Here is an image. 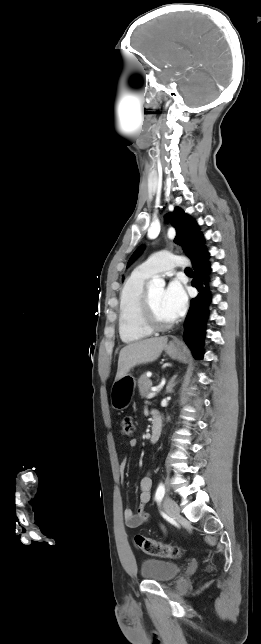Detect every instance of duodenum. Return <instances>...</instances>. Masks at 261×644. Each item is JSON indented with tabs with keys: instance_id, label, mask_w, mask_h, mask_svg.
<instances>
[{
	"instance_id": "duodenum-1",
	"label": "duodenum",
	"mask_w": 261,
	"mask_h": 644,
	"mask_svg": "<svg viewBox=\"0 0 261 644\" xmlns=\"http://www.w3.org/2000/svg\"><path fill=\"white\" fill-rule=\"evenodd\" d=\"M162 433V420L158 413L153 414L152 429L150 433V442L156 443Z\"/></svg>"
}]
</instances>
